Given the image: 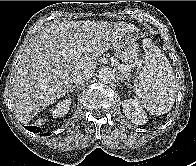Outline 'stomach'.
Returning a JSON list of instances; mask_svg holds the SVG:
<instances>
[{
  "mask_svg": "<svg viewBox=\"0 0 196 166\" xmlns=\"http://www.w3.org/2000/svg\"><path fill=\"white\" fill-rule=\"evenodd\" d=\"M115 54L124 62L133 63L139 57L137 38L128 34L114 45Z\"/></svg>",
  "mask_w": 196,
  "mask_h": 166,
  "instance_id": "obj_1",
  "label": "stomach"
}]
</instances>
